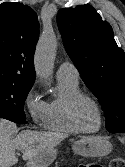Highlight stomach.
Segmentation results:
<instances>
[{
  "label": "stomach",
  "instance_id": "stomach-1",
  "mask_svg": "<svg viewBox=\"0 0 125 167\" xmlns=\"http://www.w3.org/2000/svg\"><path fill=\"white\" fill-rule=\"evenodd\" d=\"M74 153L84 157H102L109 154L112 145L104 137H84L73 143ZM57 157V150L50 148L42 151L27 162V167H48Z\"/></svg>",
  "mask_w": 125,
  "mask_h": 167
}]
</instances>
